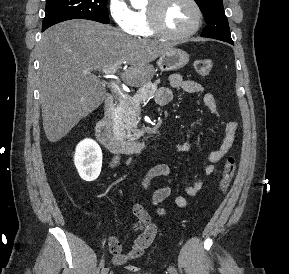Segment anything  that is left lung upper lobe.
<instances>
[{
	"mask_svg": "<svg viewBox=\"0 0 289 274\" xmlns=\"http://www.w3.org/2000/svg\"><path fill=\"white\" fill-rule=\"evenodd\" d=\"M204 15L208 26L203 29L202 37L221 41H232L228 20L224 13L222 0H195Z\"/></svg>",
	"mask_w": 289,
	"mask_h": 274,
	"instance_id": "left-lung-upper-lobe-1",
	"label": "left lung upper lobe"
}]
</instances>
